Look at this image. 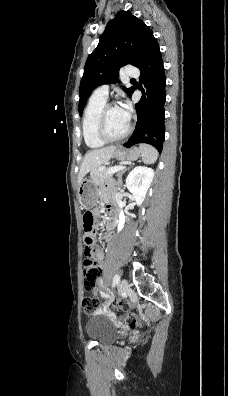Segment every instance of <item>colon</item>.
Masks as SVG:
<instances>
[{
	"label": "colon",
	"mask_w": 228,
	"mask_h": 396,
	"mask_svg": "<svg viewBox=\"0 0 228 396\" xmlns=\"http://www.w3.org/2000/svg\"><path fill=\"white\" fill-rule=\"evenodd\" d=\"M83 226L85 231V249H84V261H83V285L88 291L95 288L97 279L100 275V268L93 256V247L96 241V225L95 217L92 212H86L83 216ZM83 310L87 315H93L100 309L99 302L94 298L83 299ZM117 307L120 311L124 312L123 320L131 327L140 326V319L132 310V304L127 300H120L117 302Z\"/></svg>",
	"instance_id": "colon-1"
}]
</instances>
